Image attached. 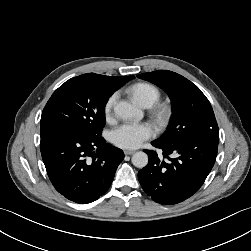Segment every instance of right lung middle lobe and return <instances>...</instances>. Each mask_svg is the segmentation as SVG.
Instances as JSON below:
<instances>
[{"instance_id":"obj_1","label":"right lung middle lobe","mask_w":251,"mask_h":251,"mask_svg":"<svg viewBox=\"0 0 251 251\" xmlns=\"http://www.w3.org/2000/svg\"><path fill=\"white\" fill-rule=\"evenodd\" d=\"M113 91L101 80L80 75L69 79L50 97L41 116V131L63 128L84 136H100L105 105Z\"/></svg>"}]
</instances>
